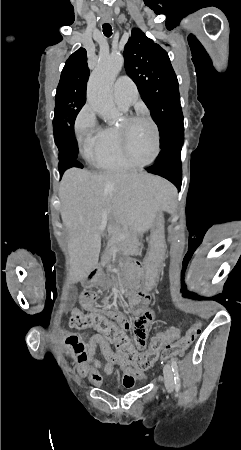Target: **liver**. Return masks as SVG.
<instances>
[{
	"label": "liver",
	"instance_id": "liver-1",
	"mask_svg": "<svg viewBox=\"0 0 241 450\" xmlns=\"http://www.w3.org/2000/svg\"><path fill=\"white\" fill-rule=\"evenodd\" d=\"M168 188L167 180L152 174L66 170L59 186L60 212L69 230L70 264L76 280L95 270L107 222L148 228L156 210L165 206Z\"/></svg>",
	"mask_w": 241,
	"mask_h": 450
}]
</instances>
